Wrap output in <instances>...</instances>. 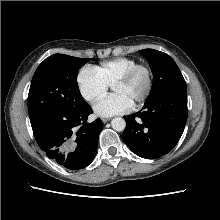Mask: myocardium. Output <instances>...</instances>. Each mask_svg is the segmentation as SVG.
<instances>
[{
    "mask_svg": "<svg viewBox=\"0 0 220 220\" xmlns=\"http://www.w3.org/2000/svg\"><path fill=\"white\" fill-rule=\"evenodd\" d=\"M139 72H144L146 75V87L144 90V93L142 94L141 97H139L135 102L134 105H140L144 103L150 96L152 90H153V85H154V73L152 68L147 65V64H137L131 69H129L124 75H122L119 79H117L112 87L117 86V85H125L131 82L135 76Z\"/></svg>",
    "mask_w": 220,
    "mask_h": 220,
    "instance_id": "1",
    "label": "myocardium"
}]
</instances>
